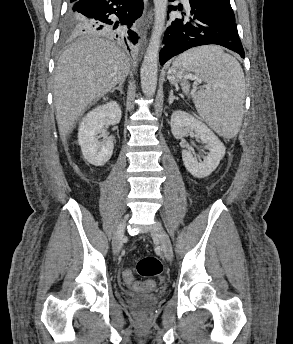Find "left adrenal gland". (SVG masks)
<instances>
[{"label":"left adrenal gland","mask_w":293,"mask_h":344,"mask_svg":"<svg viewBox=\"0 0 293 344\" xmlns=\"http://www.w3.org/2000/svg\"><path fill=\"white\" fill-rule=\"evenodd\" d=\"M174 100H179L178 97H175L173 95V91H170V95H169V104H172L174 102Z\"/></svg>","instance_id":"obj_1"}]
</instances>
